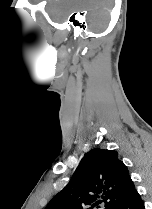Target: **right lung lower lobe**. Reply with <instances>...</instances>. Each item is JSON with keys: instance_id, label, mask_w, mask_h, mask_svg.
Listing matches in <instances>:
<instances>
[{"instance_id": "obj_1", "label": "right lung lower lobe", "mask_w": 152, "mask_h": 209, "mask_svg": "<svg viewBox=\"0 0 152 209\" xmlns=\"http://www.w3.org/2000/svg\"><path fill=\"white\" fill-rule=\"evenodd\" d=\"M111 209H145L144 202L137 190L132 188L130 192Z\"/></svg>"}]
</instances>
